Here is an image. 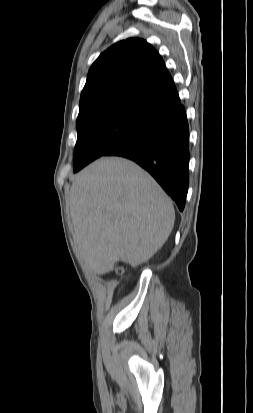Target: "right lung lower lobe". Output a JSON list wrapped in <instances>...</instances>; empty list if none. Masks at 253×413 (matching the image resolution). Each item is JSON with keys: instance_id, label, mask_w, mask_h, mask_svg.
<instances>
[{"instance_id": "98d812e1", "label": "right lung lower lobe", "mask_w": 253, "mask_h": 413, "mask_svg": "<svg viewBox=\"0 0 253 413\" xmlns=\"http://www.w3.org/2000/svg\"><path fill=\"white\" fill-rule=\"evenodd\" d=\"M131 159L147 170L182 211L189 183V127L183 105L156 114L143 130L104 156Z\"/></svg>"}]
</instances>
